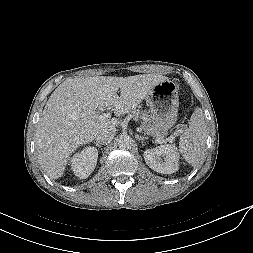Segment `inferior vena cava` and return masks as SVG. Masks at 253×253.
Instances as JSON below:
<instances>
[{"label":"inferior vena cava","instance_id":"inferior-vena-cava-1","mask_svg":"<svg viewBox=\"0 0 253 253\" xmlns=\"http://www.w3.org/2000/svg\"><path fill=\"white\" fill-rule=\"evenodd\" d=\"M116 134V128L108 125L100 128L95 136V140L98 144L110 143Z\"/></svg>","mask_w":253,"mask_h":253}]
</instances>
